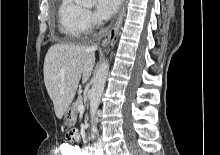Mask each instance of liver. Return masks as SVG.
Masks as SVG:
<instances>
[{"label": "liver", "mask_w": 220, "mask_h": 155, "mask_svg": "<svg viewBox=\"0 0 220 155\" xmlns=\"http://www.w3.org/2000/svg\"><path fill=\"white\" fill-rule=\"evenodd\" d=\"M95 64L94 49L74 44L52 45L44 60V82L61 119L72 103L80 79L86 83Z\"/></svg>", "instance_id": "obj_1"}]
</instances>
